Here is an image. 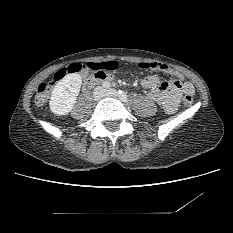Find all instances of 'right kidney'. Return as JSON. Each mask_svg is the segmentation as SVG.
I'll list each match as a JSON object with an SVG mask.
<instances>
[{"mask_svg": "<svg viewBox=\"0 0 233 233\" xmlns=\"http://www.w3.org/2000/svg\"><path fill=\"white\" fill-rule=\"evenodd\" d=\"M82 84V77L77 73L64 76L53 88L49 107L57 116L67 115L74 107Z\"/></svg>", "mask_w": 233, "mask_h": 233, "instance_id": "obj_1", "label": "right kidney"}]
</instances>
